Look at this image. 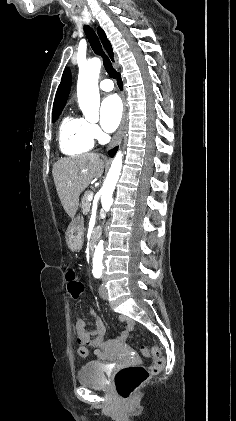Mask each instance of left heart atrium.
<instances>
[{
	"mask_svg": "<svg viewBox=\"0 0 236 421\" xmlns=\"http://www.w3.org/2000/svg\"><path fill=\"white\" fill-rule=\"evenodd\" d=\"M122 117V105L116 95L106 96L101 104V126L104 131H114Z\"/></svg>",
	"mask_w": 236,
	"mask_h": 421,
	"instance_id": "39dd6f15",
	"label": "left heart atrium"
}]
</instances>
